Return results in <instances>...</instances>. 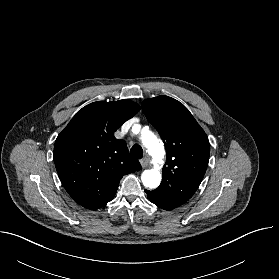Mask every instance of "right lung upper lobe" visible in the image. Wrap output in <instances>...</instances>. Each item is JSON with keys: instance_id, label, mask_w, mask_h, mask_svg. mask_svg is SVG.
Instances as JSON below:
<instances>
[{"instance_id": "obj_1", "label": "right lung upper lobe", "mask_w": 279, "mask_h": 279, "mask_svg": "<svg viewBox=\"0 0 279 279\" xmlns=\"http://www.w3.org/2000/svg\"><path fill=\"white\" fill-rule=\"evenodd\" d=\"M140 106L131 100L91 103L72 118L58 135L54 162L68 194L79 205L98 209L111 201L123 175L139 171L125 141L114 132Z\"/></svg>"}]
</instances>
